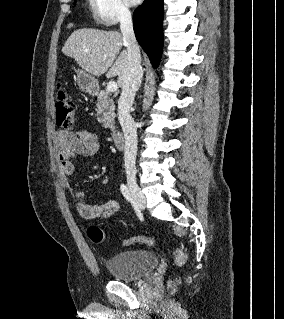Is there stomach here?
Instances as JSON below:
<instances>
[{
    "mask_svg": "<svg viewBox=\"0 0 284 319\" xmlns=\"http://www.w3.org/2000/svg\"><path fill=\"white\" fill-rule=\"evenodd\" d=\"M77 85L85 93H94L98 89V81L92 75L79 70L77 72Z\"/></svg>",
    "mask_w": 284,
    "mask_h": 319,
    "instance_id": "1",
    "label": "stomach"
}]
</instances>
